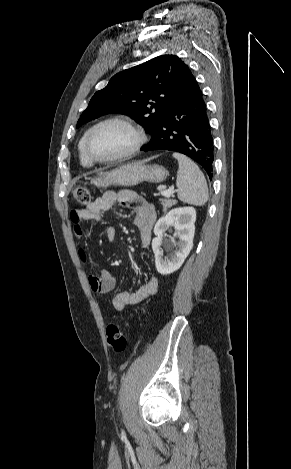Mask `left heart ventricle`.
<instances>
[{"label": "left heart ventricle", "instance_id": "1", "mask_svg": "<svg viewBox=\"0 0 291 469\" xmlns=\"http://www.w3.org/2000/svg\"><path fill=\"white\" fill-rule=\"evenodd\" d=\"M135 142L133 131L121 123L99 127L90 140V150L98 158H110L129 150Z\"/></svg>", "mask_w": 291, "mask_h": 469}]
</instances>
